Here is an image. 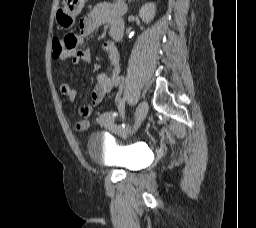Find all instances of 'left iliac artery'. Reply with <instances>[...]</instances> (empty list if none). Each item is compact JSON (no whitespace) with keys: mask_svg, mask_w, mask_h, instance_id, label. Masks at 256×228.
<instances>
[{"mask_svg":"<svg viewBox=\"0 0 256 228\" xmlns=\"http://www.w3.org/2000/svg\"><path fill=\"white\" fill-rule=\"evenodd\" d=\"M124 108H125V99L123 98L120 100L119 106H118L119 112L122 117H124Z\"/></svg>","mask_w":256,"mask_h":228,"instance_id":"1","label":"left iliac artery"}]
</instances>
